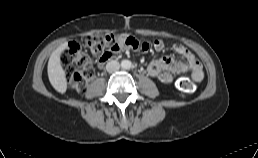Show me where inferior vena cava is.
<instances>
[{
    "label": "inferior vena cava",
    "instance_id": "1",
    "mask_svg": "<svg viewBox=\"0 0 258 158\" xmlns=\"http://www.w3.org/2000/svg\"><path fill=\"white\" fill-rule=\"evenodd\" d=\"M119 68H120V64H119V62L116 61V60H111V61H109V62L106 64V70H107V72H109V73H113V72L119 70Z\"/></svg>",
    "mask_w": 258,
    "mask_h": 158
}]
</instances>
